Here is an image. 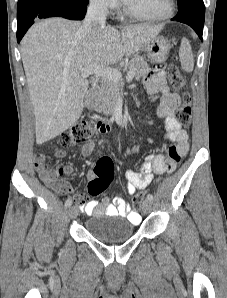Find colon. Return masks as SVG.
Here are the masks:
<instances>
[{
	"label": "colon",
	"instance_id": "5ec220e1",
	"mask_svg": "<svg viewBox=\"0 0 227 298\" xmlns=\"http://www.w3.org/2000/svg\"><path fill=\"white\" fill-rule=\"evenodd\" d=\"M168 78L171 85L175 89H183L185 80L178 67L172 65L168 68ZM192 109L191 98L187 93L183 94V107L177 112L176 119L181 125H189L191 122ZM97 130L91 122H79L65 131L59 136L58 143L62 149L68 148L73 145L88 142ZM114 177V165L110 158H100L95 166L93 176L88 182V191L91 195L102 194L110 185ZM144 193H138L133 199V206L140 208L144 199Z\"/></svg>",
	"mask_w": 227,
	"mask_h": 298
}]
</instances>
